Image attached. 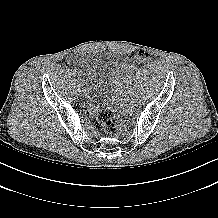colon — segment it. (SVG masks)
Segmentation results:
<instances>
[{
    "label": "colon",
    "mask_w": 218,
    "mask_h": 218,
    "mask_svg": "<svg viewBox=\"0 0 218 218\" xmlns=\"http://www.w3.org/2000/svg\"><path fill=\"white\" fill-rule=\"evenodd\" d=\"M138 58L140 60H146L148 59V53L141 51L138 53ZM96 117L101 131L103 133H108L113 124L114 111L111 108H104L98 111Z\"/></svg>",
    "instance_id": "obj_1"
}]
</instances>
